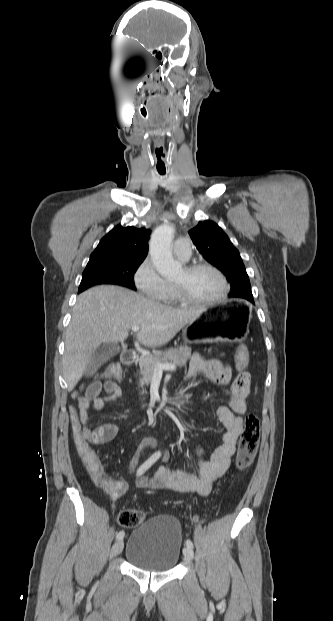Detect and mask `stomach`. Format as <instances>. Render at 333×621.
I'll use <instances>...</instances> for the list:
<instances>
[{"label":"stomach","mask_w":333,"mask_h":621,"mask_svg":"<svg viewBox=\"0 0 333 621\" xmlns=\"http://www.w3.org/2000/svg\"><path fill=\"white\" fill-rule=\"evenodd\" d=\"M250 317L251 307L240 301L211 305L183 329V338L192 343L239 338Z\"/></svg>","instance_id":"1"}]
</instances>
